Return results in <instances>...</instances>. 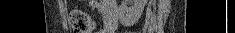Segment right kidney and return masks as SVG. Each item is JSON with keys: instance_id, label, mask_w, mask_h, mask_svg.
<instances>
[{"instance_id": "obj_1", "label": "right kidney", "mask_w": 235, "mask_h": 33, "mask_svg": "<svg viewBox=\"0 0 235 33\" xmlns=\"http://www.w3.org/2000/svg\"><path fill=\"white\" fill-rule=\"evenodd\" d=\"M133 2L134 4L132 7L125 10H119V17L122 23H127L130 20H138L143 13L147 0H133Z\"/></svg>"}]
</instances>
